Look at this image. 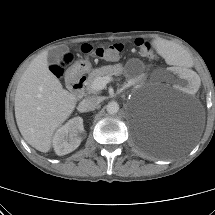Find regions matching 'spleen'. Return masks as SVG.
<instances>
[{"label": "spleen", "instance_id": "3e777b00", "mask_svg": "<svg viewBox=\"0 0 215 215\" xmlns=\"http://www.w3.org/2000/svg\"><path fill=\"white\" fill-rule=\"evenodd\" d=\"M148 44L152 47L154 53L165 62L185 69L191 67L192 57L187 53L185 47L173 45L172 42L165 39L158 41L155 37L150 38Z\"/></svg>", "mask_w": 215, "mask_h": 215}]
</instances>
